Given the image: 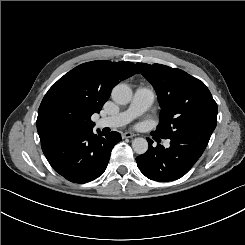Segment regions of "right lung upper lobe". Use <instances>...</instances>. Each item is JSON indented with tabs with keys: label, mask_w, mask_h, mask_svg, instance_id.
I'll list each match as a JSON object with an SVG mask.
<instances>
[{
	"label": "right lung upper lobe",
	"mask_w": 245,
	"mask_h": 245,
	"mask_svg": "<svg viewBox=\"0 0 245 245\" xmlns=\"http://www.w3.org/2000/svg\"><path fill=\"white\" fill-rule=\"evenodd\" d=\"M136 73L131 62L106 60L81 64L61 77L46 93L38 110L37 131L43 141L67 133L60 115L70 111L99 113L115 85Z\"/></svg>",
	"instance_id": "cb5924a9"
}]
</instances>
